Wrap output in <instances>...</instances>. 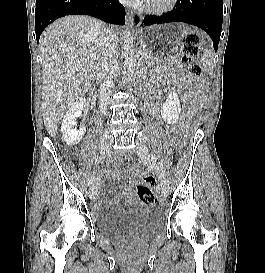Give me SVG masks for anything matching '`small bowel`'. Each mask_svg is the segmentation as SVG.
<instances>
[{
  "mask_svg": "<svg viewBox=\"0 0 265 273\" xmlns=\"http://www.w3.org/2000/svg\"><path fill=\"white\" fill-rule=\"evenodd\" d=\"M174 129H176V127H174ZM97 189H98V188H97ZM127 192H128V190H124V191H123V193H127ZM96 193H97V191H96ZM101 206H102V203H101V201L97 198L96 201H95V207L99 209V208H101Z\"/></svg>",
  "mask_w": 265,
  "mask_h": 273,
  "instance_id": "1",
  "label": "small bowel"
}]
</instances>
